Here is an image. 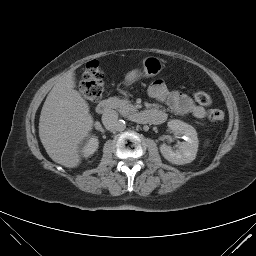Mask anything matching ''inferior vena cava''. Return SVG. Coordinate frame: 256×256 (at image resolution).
Returning <instances> with one entry per match:
<instances>
[{
    "mask_svg": "<svg viewBox=\"0 0 256 256\" xmlns=\"http://www.w3.org/2000/svg\"><path fill=\"white\" fill-rule=\"evenodd\" d=\"M118 113L114 110H109L102 115V123L107 130H117Z\"/></svg>",
    "mask_w": 256,
    "mask_h": 256,
    "instance_id": "602c4592",
    "label": "inferior vena cava"
}]
</instances>
